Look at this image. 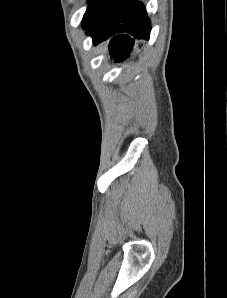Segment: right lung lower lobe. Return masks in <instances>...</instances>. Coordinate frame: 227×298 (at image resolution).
Wrapping results in <instances>:
<instances>
[{
  "mask_svg": "<svg viewBox=\"0 0 227 298\" xmlns=\"http://www.w3.org/2000/svg\"><path fill=\"white\" fill-rule=\"evenodd\" d=\"M85 29L94 44L112 37L110 54L119 61L130 52L134 39H149L151 26L142 3L113 0Z\"/></svg>",
  "mask_w": 227,
  "mask_h": 298,
  "instance_id": "1",
  "label": "right lung lower lobe"
}]
</instances>
